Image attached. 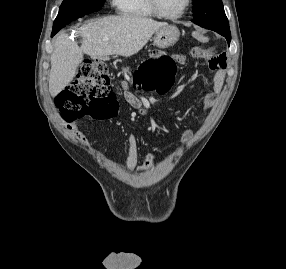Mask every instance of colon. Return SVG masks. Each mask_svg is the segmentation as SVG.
<instances>
[{
	"label": "colon",
	"instance_id": "colon-1",
	"mask_svg": "<svg viewBox=\"0 0 286 269\" xmlns=\"http://www.w3.org/2000/svg\"><path fill=\"white\" fill-rule=\"evenodd\" d=\"M201 50L196 49L197 52ZM150 58L140 66L139 80L145 89L164 93L174 83L175 60L166 55L165 49H151ZM57 107L67 123L84 116L100 120L115 117L118 103L110 87L106 64L85 60L79 67L78 78L58 95Z\"/></svg>",
	"mask_w": 286,
	"mask_h": 269
}]
</instances>
